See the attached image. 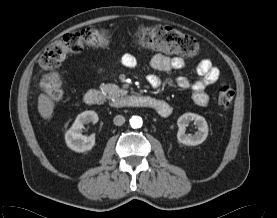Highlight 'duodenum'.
<instances>
[{
    "label": "duodenum",
    "mask_w": 277,
    "mask_h": 218,
    "mask_svg": "<svg viewBox=\"0 0 277 218\" xmlns=\"http://www.w3.org/2000/svg\"><path fill=\"white\" fill-rule=\"evenodd\" d=\"M84 102L89 105H103L105 103V96L98 89H89L84 95ZM162 102L163 101L149 95L132 94L122 98L119 102H117L116 108L140 107L153 109L158 112V109L162 106ZM170 112L166 115L159 114L165 117L168 116Z\"/></svg>",
    "instance_id": "410a0bca"
}]
</instances>
